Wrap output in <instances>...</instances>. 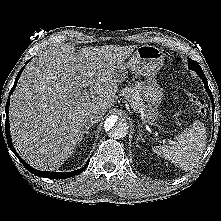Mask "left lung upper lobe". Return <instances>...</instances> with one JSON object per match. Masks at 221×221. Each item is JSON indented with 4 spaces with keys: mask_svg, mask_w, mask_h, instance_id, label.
<instances>
[{
    "mask_svg": "<svg viewBox=\"0 0 221 221\" xmlns=\"http://www.w3.org/2000/svg\"><path fill=\"white\" fill-rule=\"evenodd\" d=\"M188 66H189V68L191 69V70H194V71H196V70H198V69H201L202 70V68L200 67V65L196 62V61H194V60H192V59H188Z\"/></svg>",
    "mask_w": 221,
    "mask_h": 221,
    "instance_id": "left-lung-upper-lobe-1",
    "label": "left lung upper lobe"
}]
</instances>
